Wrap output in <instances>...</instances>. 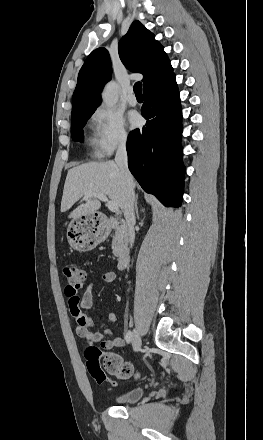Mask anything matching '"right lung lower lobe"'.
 <instances>
[{"instance_id": "obj_1", "label": "right lung lower lobe", "mask_w": 263, "mask_h": 440, "mask_svg": "<svg viewBox=\"0 0 263 440\" xmlns=\"http://www.w3.org/2000/svg\"><path fill=\"white\" fill-rule=\"evenodd\" d=\"M143 92L141 112L147 123L129 134L128 166L147 193L165 206L179 207L185 167L180 145L182 110L174 73Z\"/></svg>"}]
</instances>
